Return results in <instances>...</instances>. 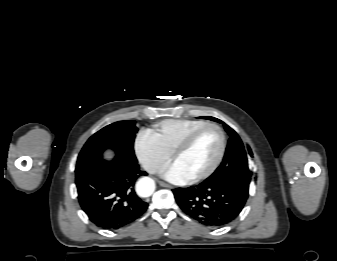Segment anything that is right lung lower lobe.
<instances>
[{"label": "right lung lower lobe", "mask_w": 337, "mask_h": 261, "mask_svg": "<svg viewBox=\"0 0 337 261\" xmlns=\"http://www.w3.org/2000/svg\"><path fill=\"white\" fill-rule=\"evenodd\" d=\"M147 175L137 162L116 156L101 160L76 173L78 200L89 219L98 227L116 230L133 223L148 204L136 194V180Z\"/></svg>", "instance_id": "98d812e1"}]
</instances>
